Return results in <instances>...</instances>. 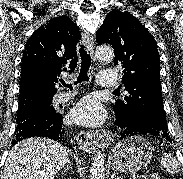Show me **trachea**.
I'll return each instance as SVG.
<instances>
[{
    "instance_id": "3493384b",
    "label": "trachea",
    "mask_w": 183,
    "mask_h": 179,
    "mask_svg": "<svg viewBox=\"0 0 183 179\" xmlns=\"http://www.w3.org/2000/svg\"><path fill=\"white\" fill-rule=\"evenodd\" d=\"M79 52H80V57H81V69H80L79 76H78L75 84L89 80L87 73H88V70L91 66L90 55L87 53V51L84 49V47H81ZM61 82L63 85L68 86L70 89H72L71 85L65 84L64 81H61Z\"/></svg>"
}]
</instances>
